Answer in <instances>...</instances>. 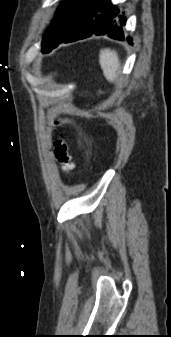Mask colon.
<instances>
[{"mask_svg": "<svg viewBox=\"0 0 171 337\" xmlns=\"http://www.w3.org/2000/svg\"><path fill=\"white\" fill-rule=\"evenodd\" d=\"M58 123L70 124L71 120H63ZM54 157L64 173H68L74 168V163L70 154L69 146L63 138L55 139L53 143Z\"/></svg>", "mask_w": 171, "mask_h": 337, "instance_id": "obj_1", "label": "colon"}]
</instances>
